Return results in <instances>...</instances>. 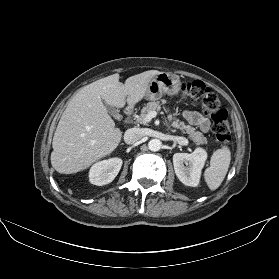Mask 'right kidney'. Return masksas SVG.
<instances>
[{
	"instance_id": "1",
	"label": "right kidney",
	"mask_w": 279,
	"mask_h": 279,
	"mask_svg": "<svg viewBox=\"0 0 279 279\" xmlns=\"http://www.w3.org/2000/svg\"><path fill=\"white\" fill-rule=\"evenodd\" d=\"M122 166V159L110 158L95 163L89 171L90 183L103 186L111 183L119 173Z\"/></svg>"
}]
</instances>
